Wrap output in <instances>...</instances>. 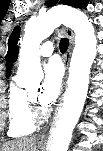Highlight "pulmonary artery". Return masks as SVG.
Returning <instances> with one entry per match:
<instances>
[{
    "label": "pulmonary artery",
    "mask_w": 103,
    "mask_h": 151,
    "mask_svg": "<svg viewBox=\"0 0 103 151\" xmlns=\"http://www.w3.org/2000/svg\"><path fill=\"white\" fill-rule=\"evenodd\" d=\"M53 53V42L52 41H46L44 42L39 50V54L42 57H49Z\"/></svg>",
    "instance_id": "e3ab8cb5"
}]
</instances>
